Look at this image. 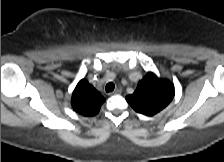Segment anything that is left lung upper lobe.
Listing matches in <instances>:
<instances>
[{
    "label": "left lung upper lobe",
    "instance_id": "left-lung-upper-lobe-1",
    "mask_svg": "<svg viewBox=\"0 0 224 162\" xmlns=\"http://www.w3.org/2000/svg\"><path fill=\"white\" fill-rule=\"evenodd\" d=\"M174 97V85L148 72L138 83L135 92L126 97L138 113L152 116L164 109Z\"/></svg>",
    "mask_w": 224,
    "mask_h": 162
}]
</instances>
